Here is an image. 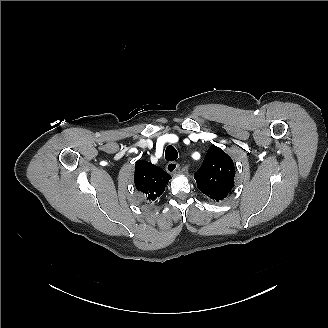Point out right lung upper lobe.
<instances>
[{
    "label": "right lung upper lobe",
    "instance_id": "1",
    "mask_svg": "<svg viewBox=\"0 0 328 328\" xmlns=\"http://www.w3.org/2000/svg\"><path fill=\"white\" fill-rule=\"evenodd\" d=\"M171 176L150 162L139 160L135 164L134 183L136 189L146 195V200H156L165 190Z\"/></svg>",
    "mask_w": 328,
    "mask_h": 328
}]
</instances>
